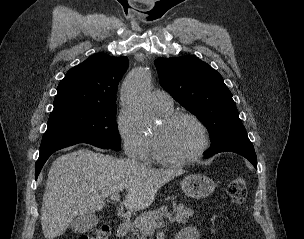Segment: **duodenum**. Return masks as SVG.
I'll use <instances>...</instances> for the list:
<instances>
[{
	"mask_svg": "<svg viewBox=\"0 0 304 239\" xmlns=\"http://www.w3.org/2000/svg\"><path fill=\"white\" fill-rule=\"evenodd\" d=\"M131 228V225L128 221H124L122 223L119 224L118 228H117V236L118 237H125L127 236V234L129 233ZM178 237H176L177 239Z\"/></svg>",
	"mask_w": 304,
	"mask_h": 239,
	"instance_id": "obj_1",
	"label": "duodenum"
}]
</instances>
